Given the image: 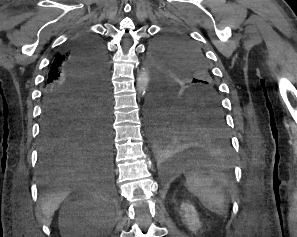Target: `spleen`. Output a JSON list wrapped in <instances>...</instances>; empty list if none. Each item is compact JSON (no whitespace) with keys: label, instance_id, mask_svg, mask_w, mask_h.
<instances>
[{"label":"spleen","instance_id":"1","mask_svg":"<svg viewBox=\"0 0 297 237\" xmlns=\"http://www.w3.org/2000/svg\"><path fill=\"white\" fill-rule=\"evenodd\" d=\"M186 187L189 192L197 196L202 205L218 215L225 211L224 183L220 175L205 174L195 171L186 178Z\"/></svg>","mask_w":297,"mask_h":237}]
</instances>
